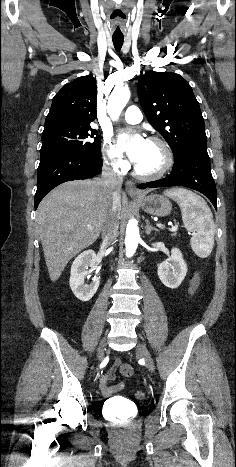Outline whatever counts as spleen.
<instances>
[{
    "mask_svg": "<svg viewBox=\"0 0 236 467\" xmlns=\"http://www.w3.org/2000/svg\"><path fill=\"white\" fill-rule=\"evenodd\" d=\"M164 194L178 203L183 223L192 233L190 244L194 253L201 258L208 257L214 246L215 225L207 203L185 188H172Z\"/></svg>",
    "mask_w": 236,
    "mask_h": 467,
    "instance_id": "1",
    "label": "spleen"
}]
</instances>
